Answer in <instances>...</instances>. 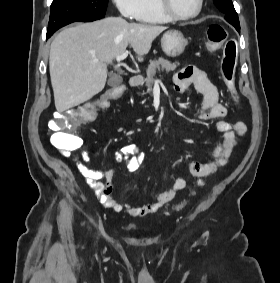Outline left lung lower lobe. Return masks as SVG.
<instances>
[{
	"mask_svg": "<svg viewBox=\"0 0 280 283\" xmlns=\"http://www.w3.org/2000/svg\"><path fill=\"white\" fill-rule=\"evenodd\" d=\"M238 32H240V26H234Z\"/></svg>",
	"mask_w": 280,
	"mask_h": 283,
	"instance_id": "left-lung-lower-lobe-1",
	"label": "left lung lower lobe"
}]
</instances>
